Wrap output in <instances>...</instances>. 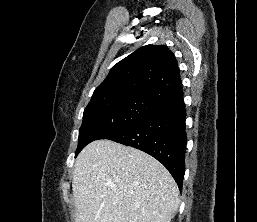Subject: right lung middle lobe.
Listing matches in <instances>:
<instances>
[{"instance_id": "obj_1", "label": "right lung middle lobe", "mask_w": 257, "mask_h": 222, "mask_svg": "<svg viewBox=\"0 0 257 222\" xmlns=\"http://www.w3.org/2000/svg\"><path fill=\"white\" fill-rule=\"evenodd\" d=\"M159 106L155 101L139 97L90 101L84 110L75 156L90 142L108 139L140 121Z\"/></svg>"}]
</instances>
